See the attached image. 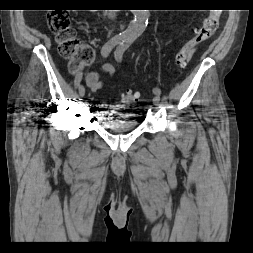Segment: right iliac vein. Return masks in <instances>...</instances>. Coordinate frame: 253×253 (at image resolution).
<instances>
[{
  "label": "right iliac vein",
  "instance_id": "obj_1",
  "mask_svg": "<svg viewBox=\"0 0 253 253\" xmlns=\"http://www.w3.org/2000/svg\"><path fill=\"white\" fill-rule=\"evenodd\" d=\"M79 95L83 97L85 95V88L83 85L79 86Z\"/></svg>",
  "mask_w": 253,
  "mask_h": 253
}]
</instances>
